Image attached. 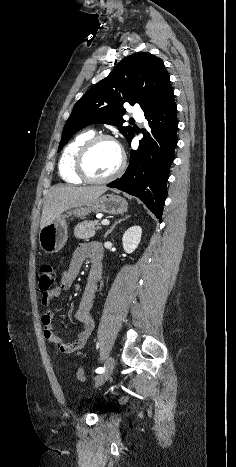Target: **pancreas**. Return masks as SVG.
Listing matches in <instances>:
<instances>
[{
    "label": "pancreas",
    "mask_w": 236,
    "mask_h": 467,
    "mask_svg": "<svg viewBox=\"0 0 236 467\" xmlns=\"http://www.w3.org/2000/svg\"><path fill=\"white\" fill-rule=\"evenodd\" d=\"M98 224V220L84 221L82 223L77 224L74 229L75 237L78 239L88 240L89 238L95 235L96 230L101 228L98 226Z\"/></svg>",
    "instance_id": "cf45deb5"
}]
</instances>
